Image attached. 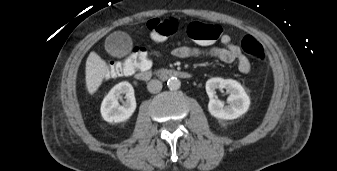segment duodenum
<instances>
[{"instance_id":"410a0bca","label":"duodenum","mask_w":337,"mask_h":171,"mask_svg":"<svg viewBox=\"0 0 337 171\" xmlns=\"http://www.w3.org/2000/svg\"><path fill=\"white\" fill-rule=\"evenodd\" d=\"M135 76L138 80L142 81H147L154 77L161 81H167L171 78H190L191 74L172 68L152 69L146 67L137 71Z\"/></svg>"}]
</instances>
